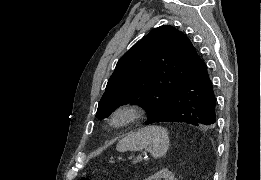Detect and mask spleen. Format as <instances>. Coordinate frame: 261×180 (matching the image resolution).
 <instances>
[{"instance_id": "obj_1", "label": "spleen", "mask_w": 261, "mask_h": 180, "mask_svg": "<svg viewBox=\"0 0 261 180\" xmlns=\"http://www.w3.org/2000/svg\"><path fill=\"white\" fill-rule=\"evenodd\" d=\"M149 148L152 158H163L169 148V136L166 128L147 126L134 134H128L117 144V152H140Z\"/></svg>"}]
</instances>
